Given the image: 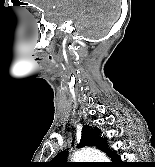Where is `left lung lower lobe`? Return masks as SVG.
Wrapping results in <instances>:
<instances>
[{"mask_svg": "<svg viewBox=\"0 0 155 167\" xmlns=\"http://www.w3.org/2000/svg\"><path fill=\"white\" fill-rule=\"evenodd\" d=\"M109 157L111 158L112 162L110 163V167H121V160L120 157L116 156L114 152H111L109 154Z\"/></svg>", "mask_w": 155, "mask_h": 167, "instance_id": "0a47b994", "label": "left lung lower lobe"}]
</instances>
